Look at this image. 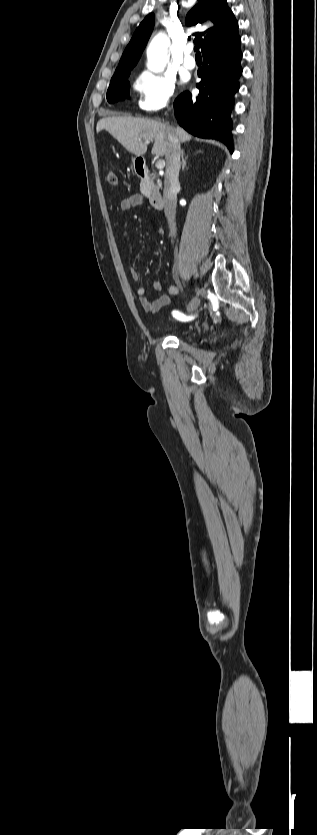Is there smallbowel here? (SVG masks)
<instances>
[{"label": "small bowel", "instance_id": "small-bowel-1", "mask_svg": "<svg viewBox=\"0 0 317 835\" xmlns=\"http://www.w3.org/2000/svg\"><path fill=\"white\" fill-rule=\"evenodd\" d=\"M143 201H144V198L141 195H138V194L132 195V196H130L128 198H125L121 201L120 208H121L122 211H130V210L134 209L135 207H137L138 205H140ZM130 275L135 282L139 280V273H138L136 268H134V267L130 268ZM152 289L154 291H160L162 289L161 282L157 281V280L153 281L152 282ZM178 291L179 290H178L177 286L169 285L167 287L166 293L161 295L160 297H158L155 300H150L146 296V289L144 287H138L136 293L138 295L139 302L142 305V307L144 308V310L147 311V312H150V313H156L162 307L168 305L170 303L171 296L176 295L178 293ZM191 305L194 307L193 311H195L196 308H197L196 303H193L191 301L189 303V306H191Z\"/></svg>", "mask_w": 317, "mask_h": 835}]
</instances>
